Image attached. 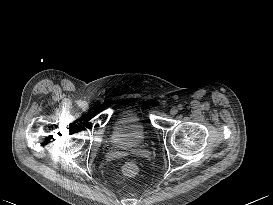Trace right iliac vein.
I'll use <instances>...</instances> for the list:
<instances>
[{
    "mask_svg": "<svg viewBox=\"0 0 273 205\" xmlns=\"http://www.w3.org/2000/svg\"><path fill=\"white\" fill-rule=\"evenodd\" d=\"M82 109H83V110H87V109H88V104H87V103H84V104L82 105Z\"/></svg>",
    "mask_w": 273,
    "mask_h": 205,
    "instance_id": "1",
    "label": "right iliac vein"
}]
</instances>
